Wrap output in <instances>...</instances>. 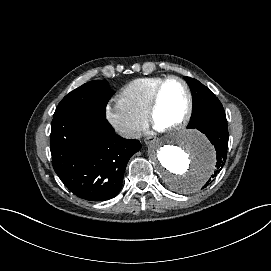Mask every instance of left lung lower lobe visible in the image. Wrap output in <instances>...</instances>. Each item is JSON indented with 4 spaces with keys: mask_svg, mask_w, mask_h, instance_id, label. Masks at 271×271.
<instances>
[{
    "mask_svg": "<svg viewBox=\"0 0 271 271\" xmlns=\"http://www.w3.org/2000/svg\"><path fill=\"white\" fill-rule=\"evenodd\" d=\"M198 129L204 133L206 137L215 146L217 153L216 168L214 170L212 178H215L217 174L222 170L227 158V146H228V127L226 115L223 107H215L208 109L191 129ZM211 179L204 185L206 187L210 183Z\"/></svg>",
    "mask_w": 271,
    "mask_h": 271,
    "instance_id": "left-lung-lower-lobe-1",
    "label": "left lung lower lobe"
}]
</instances>
